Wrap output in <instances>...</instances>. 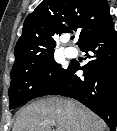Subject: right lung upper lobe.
Listing matches in <instances>:
<instances>
[{
  "label": "right lung upper lobe",
  "instance_id": "1",
  "mask_svg": "<svg viewBox=\"0 0 117 131\" xmlns=\"http://www.w3.org/2000/svg\"><path fill=\"white\" fill-rule=\"evenodd\" d=\"M113 25L106 0H43L24 21L12 69L54 53L62 33L78 30L80 46Z\"/></svg>",
  "mask_w": 117,
  "mask_h": 131
}]
</instances>
